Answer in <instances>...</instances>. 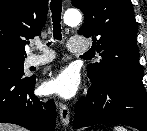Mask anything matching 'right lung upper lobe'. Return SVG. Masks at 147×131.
I'll return each instance as SVG.
<instances>
[{
  "mask_svg": "<svg viewBox=\"0 0 147 131\" xmlns=\"http://www.w3.org/2000/svg\"><path fill=\"white\" fill-rule=\"evenodd\" d=\"M48 0H0V57L24 59L25 44L40 34Z\"/></svg>",
  "mask_w": 147,
  "mask_h": 131,
  "instance_id": "1",
  "label": "right lung upper lobe"
}]
</instances>
